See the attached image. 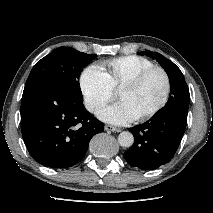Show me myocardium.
I'll list each match as a JSON object with an SVG mask.
<instances>
[{
    "label": "myocardium",
    "mask_w": 213,
    "mask_h": 213,
    "mask_svg": "<svg viewBox=\"0 0 213 213\" xmlns=\"http://www.w3.org/2000/svg\"><path fill=\"white\" fill-rule=\"evenodd\" d=\"M155 72L161 73L162 76L164 77V80H165L164 95L156 106H154L152 109H150L146 113L136 117L135 119L137 121H144V120H147V119L153 117L166 105L167 101L169 100L170 93H171V79H170L169 74L162 67L154 66V67H151V68H148V69H145V70L139 72L138 74H136L134 77L129 79L127 82H125L119 88V91H121L123 89L134 88V87L138 86L147 76H149L150 74L155 73Z\"/></svg>",
    "instance_id": "obj_1"
}]
</instances>
